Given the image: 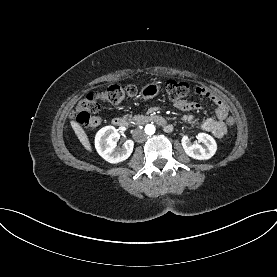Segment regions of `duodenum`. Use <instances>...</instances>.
<instances>
[{
    "label": "duodenum",
    "instance_id": "1",
    "mask_svg": "<svg viewBox=\"0 0 277 277\" xmlns=\"http://www.w3.org/2000/svg\"><path fill=\"white\" fill-rule=\"evenodd\" d=\"M135 121L138 123H156L162 126L166 132H171L173 130V126L171 124H168L163 117L156 114L143 115L136 118ZM112 124L117 128H123L127 127L130 122L126 118L115 117L112 119Z\"/></svg>",
    "mask_w": 277,
    "mask_h": 277
}]
</instances>
